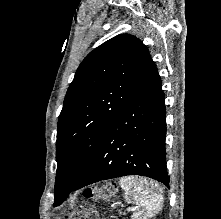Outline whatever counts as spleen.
Wrapping results in <instances>:
<instances>
[{
	"label": "spleen",
	"mask_w": 221,
	"mask_h": 219,
	"mask_svg": "<svg viewBox=\"0 0 221 219\" xmlns=\"http://www.w3.org/2000/svg\"><path fill=\"white\" fill-rule=\"evenodd\" d=\"M119 184L126 202L136 205L132 219H150L162 208V189L158 183L140 177H122Z\"/></svg>",
	"instance_id": "1"
}]
</instances>
